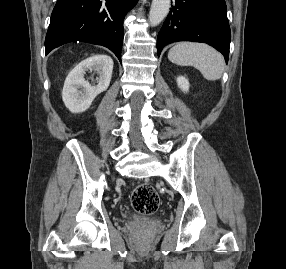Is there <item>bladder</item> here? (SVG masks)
<instances>
[{
	"mask_svg": "<svg viewBox=\"0 0 286 269\" xmlns=\"http://www.w3.org/2000/svg\"><path fill=\"white\" fill-rule=\"evenodd\" d=\"M131 217H132V218H139V217H138L137 215H135V214H132Z\"/></svg>",
	"mask_w": 286,
	"mask_h": 269,
	"instance_id": "1",
	"label": "bladder"
}]
</instances>
